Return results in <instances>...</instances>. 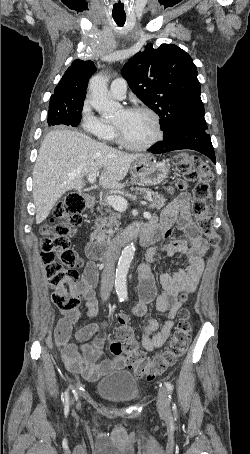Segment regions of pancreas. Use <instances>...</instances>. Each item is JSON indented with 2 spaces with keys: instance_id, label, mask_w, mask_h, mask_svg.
I'll list each match as a JSON object with an SVG mask.
<instances>
[{
  "instance_id": "1",
  "label": "pancreas",
  "mask_w": 250,
  "mask_h": 454,
  "mask_svg": "<svg viewBox=\"0 0 250 454\" xmlns=\"http://www.w3.org/2000/svg\"><path fill=\"white\" fill-rule=\"evenodd\" d=\"M136 190L144 193L148 197H152L149 201V208L158 210L164 206L165 199L157 192L145 188H136ZM97 210L100 212V216L95 220V228L94 232L91 234V238L93 240L105 242L108 238L114 236L118 228L117 215L111 211L107 201L101 202L100 207H97ZM107 213H111V215L106 217L105 215Z\"/></svg>"
}]
</instances>
